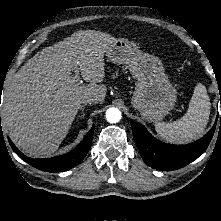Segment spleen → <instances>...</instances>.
I'll return each instance as SVG.
<instances>
[{
	"label": "spleen",
	"instance_id": "spleen-1",
	"mask_svg": "<svg viewBox=\"0 0 221 221\" xmlns=\"http://www.w3.org/2000/svg\"><path fill=\"white\" fill-rule=\"evenodd\" d=\"M209 115L210 100L205 86L199 83L194 89L187 112L174 122L155 124V130L168 142L187 143L203 134Z\"/></svg>",
	"mask_w": 221,
	"mask_h": 221
}]
</instances>
